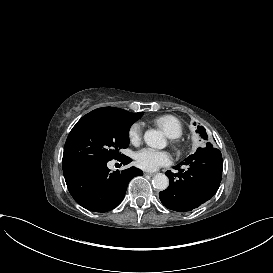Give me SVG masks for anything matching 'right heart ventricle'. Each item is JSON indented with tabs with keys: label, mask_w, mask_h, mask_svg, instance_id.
<instances>
[{
	"label": "right heart ventricle",
	"mask_w": 273,
	"mask_h": 273,
	"mask_svg": "<svg viewBox=\"0 0 273 273\" xmlns=\"http://www.w3.org/2000/svg\"><path fill=\"white\" fill-rule=\"evenodd\" d=\"M153 123L162 129L169 138H179L184 130L183 122L175 115L164 114L154 118Z\"/></svg>",
	"instance_id": "right-heart-ventricle-1"
}]
</instances>
